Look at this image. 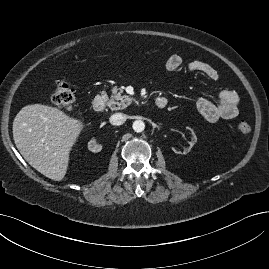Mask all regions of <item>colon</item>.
<instances>
[{"instance_id":"obj_1","label":"colon","mask_w":269,"mask_h":269,"mask_svg":"<svg viewBox=\"0 0 269 269\" xmlns=\"http://www.w3.org/2000/svg\"><path fill=\"white\" fill-rule=\"evenodd\" d=\"M51 98L54 105L61 110H71L76 101L73 87L64 80L55 84ZM234 131L246 136L251 132V124L248 121L241 120L234 127Z\"/></svg>"}]
</instances>
